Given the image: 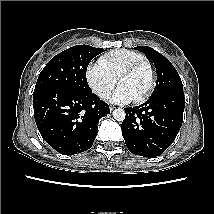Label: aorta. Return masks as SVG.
Wrapping results in <instances>:
<instances>
[{"mask_svg": "<svg viewBox=\"0 0 214 214\" xmlns=\"http://www.w3.org/2000/svg\"><path fill=\"white\" fill-rule=\"evenodd\" d=\"M125 111L121 108L115 109L113 111V117L117 120V121H123L125 119Z\"/></svg>", "mask_w": 214, "mask_h": 214, "instance_id": "obj_1", "label": "aorta"}]
</instances>
